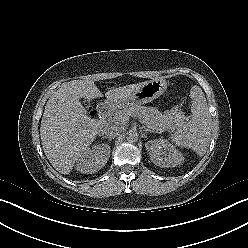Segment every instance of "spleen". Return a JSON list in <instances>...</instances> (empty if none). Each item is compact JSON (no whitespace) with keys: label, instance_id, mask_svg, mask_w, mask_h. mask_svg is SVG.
Returning <instances> with one entry per match:
<instances>
[{"label":"spleen","instance_id":"obj_1","mask_svg":"<svg viewBox=\"0 0 248 248\" xmlns=\"http://www.w3.org/2000/svg\"><path fill=\"white\" fill-rule=\"evenodd\" d=\"M190 97L191 118L170 136V140L181 148H191L199 156H203L210 143L211 115L205 95L199 86L195 85L191 88Z\"/></svg>","mask_w":248,"mask_h":248}]
</instances>
